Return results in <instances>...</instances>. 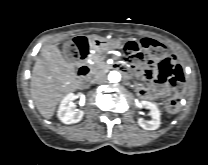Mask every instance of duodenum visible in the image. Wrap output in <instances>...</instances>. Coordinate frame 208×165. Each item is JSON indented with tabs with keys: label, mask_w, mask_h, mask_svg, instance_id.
<instances>
[{
	"label": "duodenum",
	"mask_w": 208,
	"mask_h": 165,
	"mask_svg": "<svg viewBox=\"0 0 208 165\" xmlns=\"http://www.w3.org/2000/svg\"><path fill=\"white\" fill-rule=\"evenodd\" d=\"M88 52H89V49L87 48L86 54ZM111 67H116L117 69H119L125 77L130 76V71L127 68H124L120 64L110 65L109 68H111ZM77 73H78V77H79L80 81L83 84H88L90 82V69H89L88 65L86 64V55L85 54H82L80 60L78 61Z\"/></svg>",
	"instance_id": "410a0bca"
}]
</instances>
